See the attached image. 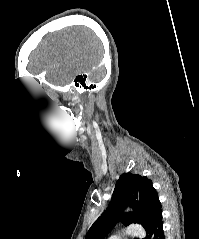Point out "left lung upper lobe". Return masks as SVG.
<instances>
[{"label": "left lung upper lobe", "mask_w": 199, "mask_h": 239, "mask_svg": "<svg viewBox=\"0 0 199 239\" xmlns=\"http://www.w3.org/2000/svg\"><path fill=\"white\" fill-rule=\"evenodd\" d=\"M126 206H132L134 211L122 213ZM160 210L152 181L146 176L124 173L115 185L108 208L90 227L85 239H103L118 221L125 226L138 223L146 228Z\"/></svg>", "instance_id": "5c2ea615"}]
</instances>
